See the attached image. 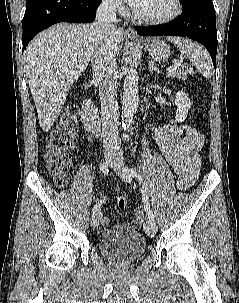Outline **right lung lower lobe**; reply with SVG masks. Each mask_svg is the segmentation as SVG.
Here are the masks:
<instances>
[{"instance_id":"obj_1","label":"right lung lower lobe","mask_w":239,"mask_h":303,"mask_svg":"<svg viewBox=\"0 0 239 303\" xmlns=\"http://www.w3.org/2000/svg\"><path fill=\"white\" fill-rule=\"evenodd\" d=\"M101 0H26L23 50L43 29L58 22L90 23Z\"/></svg>"}]
</instances>
